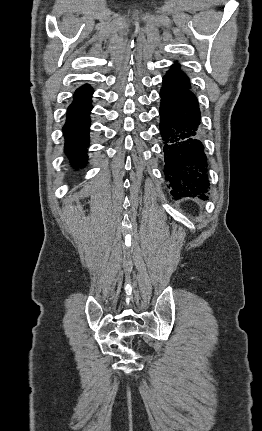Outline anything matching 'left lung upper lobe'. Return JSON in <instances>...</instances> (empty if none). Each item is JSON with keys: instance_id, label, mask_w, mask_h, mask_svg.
I'll return each mask as SVG.
<instances>
[{"instance_id": "5c2ea615", "label": "left lung upper lobe", "mask_w": 262, "mask_h": 431, "mask_svg": "<svg viewBox=\"0 0 262 431\" xmlns=\"http://www.w3.org/2000/svg\"><path fill=\"white\" fill-rule=\"evenodd\" d=\"M165 77L172 79V80L190 88L188 77L182 71H180L178 68H173V69L169 70Z\"/></svg>"}]
</instances>
